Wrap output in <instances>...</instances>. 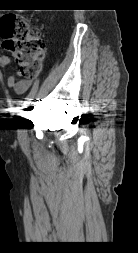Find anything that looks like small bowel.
I'll list each match as a JSON object with an SVG mask.
<instances>
[{"instance_id":"1","label":"small bowel","mask_w":138,"mask_h":253,"mask_svg":"<svg viewBox=\"0 0 138 253\" xmlns=\"http://www.w3.org/2000/svg\"><path fill=\"white\" fill-rule=\"evenodd\" d=\"M11 60L6 55H0V64L1 65H9ZM33 79L23 77L20 71H16L11 74L7 79V84L10 88H12L17 94L25 93L29 87L32 85Z\"/></svg>"}]
</instances>
